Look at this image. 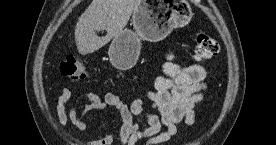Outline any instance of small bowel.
Here are the masks:
<instances>
[{
    "label": "small bowel",
    "mask_w": 276,
    "mask_h": 145,
    "mask_svg": "<svg viewBox=\"0 0 276 145\" xmlns=\"http://www.w3.org/2000/svg\"><path fill=\"white\" fill-rule=\"evenodd\" d=\"M161 69L163 75L156 79L155 89L147 93V99L159 112L158 115L147 112L142 99H135L127 104L115 92H108L104 97H100L93 92L73 94L65 88L55 104L60 126L64 128L71 123L79 131H85L89 112L108 113L114 108L121 119L118 131L121 145H135L143 139L146 140V145L168 142L176 134L178 124H194L195 107L203 100L206 72L204 67L198 64L178 65L172 54L167 56ZM82 101H85V104L79 109L78 105ZM136 116L144 117L148 125L140 128L134 120ZM114 138V131L108 129L101 138L91 140L87 145H112Z\"/></svg>",
    "instance_id": "small-bowel-1"
}]
</instances>
